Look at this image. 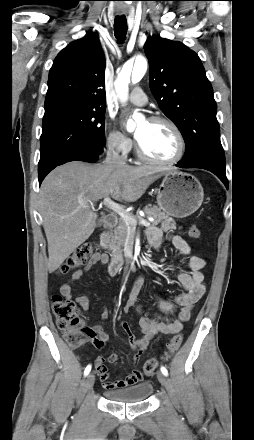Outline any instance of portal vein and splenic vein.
<instances>
[{"label":"portal vein and splenic vein","instance_id":"1","mask_svg":"<svg viewBox=\"0 0 254 440\" xmlns=\"http://www.w3.org/2000/svg\"><path fill=\"white\" fill-rule=\"evenodd\" d=\"M102 203L107 208L111 209L116 214H118L127 225H130L133 227H135L137 225V223H138L137 219L134 218L129 212L125 211V209L121 205L112 201L109 196L105 197ZM89 205L91 207L94 206V204L92 202ZM139 224L146 226V227H149L151 225L150 222L145 219H140Z\"/></svg>","mask_w":254,"mask_h":440}]
</instances>
